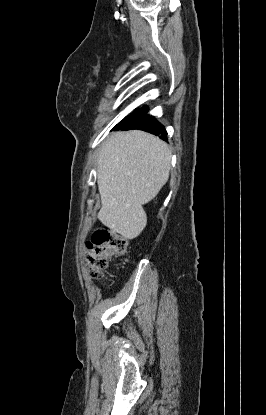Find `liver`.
<instances>
[{
	"instance_id": "obj_1",
	"label": "liver",
	"mask_w": 266,
	"mask_h": 415,
	"mask_svg": "<svg viewBox=\"0 0 266 415\" xmlns=\"http://www.w3.org/2000/svg\"><path fill=\"white\" fill-rule=\"evenodd\" d=\"M171 152L159 138L138 130L114 132L100 149L97 183L98 219L124 238H136L147 223L142 205L150 202L169 178Z\"/></svg>"
}]
</instances>
